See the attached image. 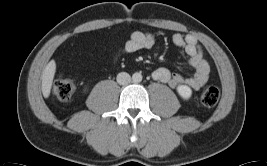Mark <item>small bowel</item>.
<instances>
[{
    "instance_id": "small-bowel-1",
    "label": "small bowel",
    "mask_w": 267,
    "mask_h": 166,
    "mask_svg": "<svg viewBox=\"0 0 267 166\" xmlns=\"http://www.w3.org/2000/svg\"><path fill=\"white\" fill-rule=\"evenodd\" d=\"M172 41L178 49L183 50L187 54L188 63L194 68L195 73L191 77H183L179 73H175L168 68L161 67L153 72V78L162 83H168L174 88L186 85L191 89L198 90L207 82L210 67L203 57L196 38L192 35H182L176 33L172 36ZM154 45L155 37L152 33L135 31L124 44L122 52L130 54L141 49H151ZM118 58L119 54H116L113 61H116Z\"/></svg>"
}]
</instances>
